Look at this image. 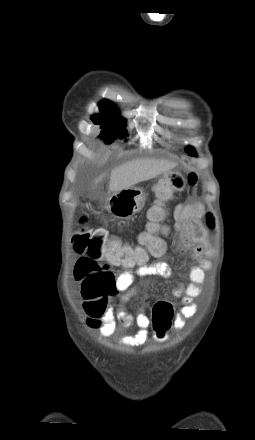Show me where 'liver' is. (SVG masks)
<instances>
[{
    "mask_svg": "<svg viewBox=\"0 0 255 440\" xmlns=\"http://www.w3.org/2000/svg\"><path fill=\"white\" fill-rule=\"evenodd\" d=\"M174 166V163L158 159L147 158L129 161L112 170L109 192H119L131 188L140 182L155 178ZM101 179L102 176L96 179L95 183H98Z\"/></svg>",
    "mask_w": 255,
    "mask_h": 440,
    "instance_id": "liver-1",
    "label": "liver"
}]
</instances>
